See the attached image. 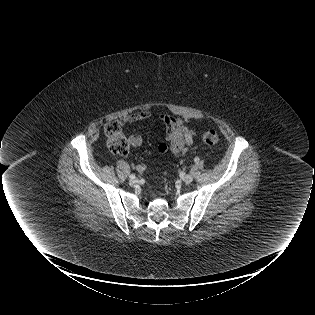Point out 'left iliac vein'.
Wrapping results in <instances>:
<instances>
[{
	"instance_id": "left-iliac-vein-1",
	"label": "left iliac vein",
	"mask_w": 315,
	"mask_h": 315,
	"mask_svg": "<svg viewBox=\"0 0 315 315\" xmlns=\"http://www.w3.org/2000/svg\"><path fill=\"white\" fill-rule=\"evenodd\" d=\"M182 181L186 184H189L193 181V176L191 174H186L182 177Z\"/></svg>"
}]
</instances>
